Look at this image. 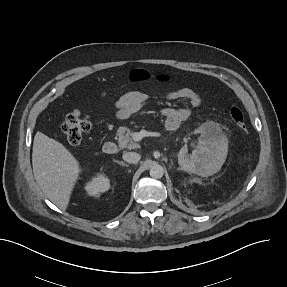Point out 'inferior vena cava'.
I'll return each instance as SVG.
<instances>
[{
	"label": "inferior vena cava",
	"mask_w": 287,
	"mask_h": 287,
	"mask_svg": "<svg viewBox=\"0 0 287 287\" xmlns=\"http://www.w3.org/2000/svg\"><path fill=\"white\" fill-rule=\"evenodd\" d=\"M140 158H141L140 154L136 152H127L123 154V160L131 164L138 163Z\"/></svg>",
	"instance_id": "obj_1"
}]
</instances>
